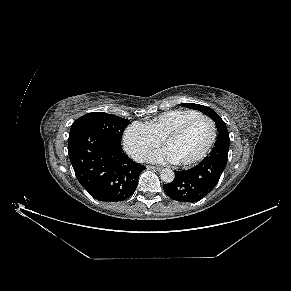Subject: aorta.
I'll use <instances>...</instances> for the list:
<instances>
[{
    "instance_id": "aorta-1",
    "label": "aorta",
    "mask_w": 291,
    "mask_h": 291,
    "mask_svg": "<svg viewBox=\"0 0 291 291\" xmlns=\"http://www.w3.org/2000/svg\"><path fill=\"white\" fill-rule=\"evenodd\" d=\"M175 174L173 170L169 168L162 169L160 172V178L165 183H171L174 180Z\"/></svg>"
}]
</instances>
